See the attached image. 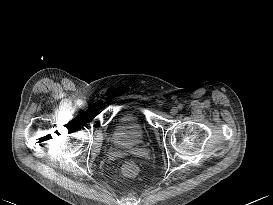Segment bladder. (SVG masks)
Here are the masks:
<instances>
[{"mask_svg": "<svg viewBox=\"0 0 273 205\" xmlns=\"http://www.w3.org/2000/svg\"><path fill=\"white\" fill-rule=\"evenodd\" d=\"M145 137V126L134 113L125 111L116 116L110 135V141L116 147H137L144 142Z\"/></svg>", "mask_w": 273, "mask_h": 205, "instance_id": "obj_1", "label": "bladder"}]
</instances>
